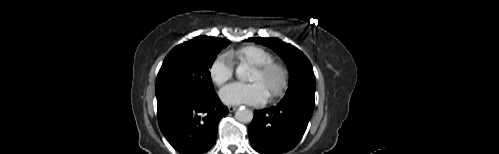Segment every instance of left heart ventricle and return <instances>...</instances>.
I'll return each instance as SVG.
<instances>
[{
	"instance_id": "left-heart-ventricle-1",
	"label": "left heart ventricle",
	"mask_w": 499,
	"mask_h": 154,
	"mask_svg": "<svg viewBox=\"0 0 499 154\" xmlns=\"http://www.w3.org/2000/svg\"><path fill=\"white\" fill-rule=\"evenodd\" d=\"M249 80L252 82H260L269 94L272 89L278 84L279 74L277 72H273L268 76H262L259 72L253 69Z\"/></svg>"
}]
</instances>
